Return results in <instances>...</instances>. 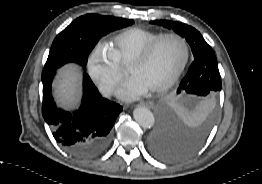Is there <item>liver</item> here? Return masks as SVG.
I'll return each instance as SVG.
<instances>
[{
  "label": "liver",
  "instance_id": "liver-1",
  "mask_svg": "<svg viewBox=\"0 0 262 184\" xmlns=\"http://www.w3.org/2000/svg\"><path fill=\"white\" fill-rule=\"evenodd\" d=\"M55 92L62 106L68 107L76 103L80 93L77 67L70 65L60 70Z\"/></svg>",
  "mask_w": 262,
  "mask_h": 184
}]
</instances>
